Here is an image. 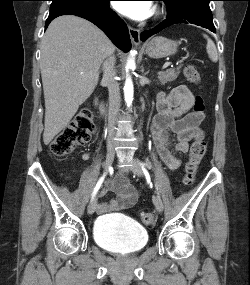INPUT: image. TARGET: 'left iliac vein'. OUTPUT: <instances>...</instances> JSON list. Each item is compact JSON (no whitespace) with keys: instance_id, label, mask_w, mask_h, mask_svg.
I'll list each match as a JSON object with an SVG mask.
<instances>
[{"instance_id":"1","label":"left iliac vein","mask_w":250,"mask_h":285,"mask_svg":"<svg viewBox=\"0 0 250 285\" xmlns=\"http://www.w3.org/2000/svg\"><path fill=\"white\" fill-rule=\"evenodd\" d=\"M130 168L132 170V172L137 175V176H142L143 175V169L141 167V165L138 163V161L136 160H131L130 162ZM153 201H154V204H155V207L157 209L158 212H162L163 211V203H162V200L159 196H154L153 198Z\"/></svg>"}]
</instances>
